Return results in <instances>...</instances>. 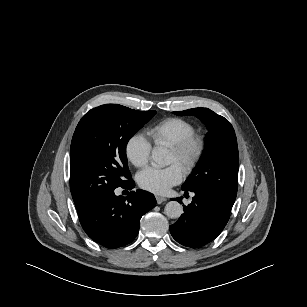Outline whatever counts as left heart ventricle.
I'll return each instance as SVG.
<instances>
[{
  "instance_id": "obj_1",
  "label": "left heart ventricle",
  "mask_w": 307,
  "mask_h": 307,
  "mask_svg": "<svg viewBox=\"0 0 307 307\" xmlns=\"http://www.w3.org/2000/svg\"><path fill=\"white\" fill-rule=\"evenodd\" d=\"M168 162H169V164H178L179 165L177 156L171 151H170Z\"/></svg>"
}]
</instances>
